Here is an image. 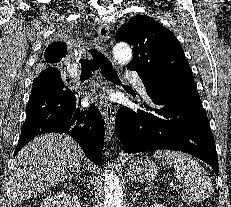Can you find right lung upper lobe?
<instances>
[{"label": "right lung upper lobe", "instance_id": "cb5924a9", "mask_svg": "<svg viewBox=\"0 0 231 207\" xmlns=\"http://www.w3.org/2000/svg\"><path fill=\"white\" fill-rule=\"evenodd\" d=\"M67 54V45L64 42L50 44L42 54L43 63H57ZM48 69V68H47Z\"/></svg>", "mask_w": 231, "mask_h": 207}]
</instances>
